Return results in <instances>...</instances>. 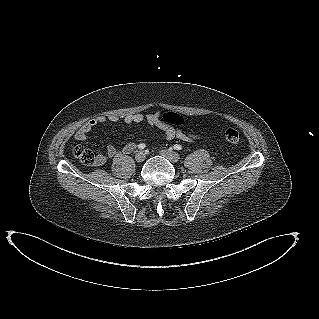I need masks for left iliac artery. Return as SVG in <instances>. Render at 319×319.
I'll use <instances>...</instances> for the list:
<instances>
[{"instance_id": "44dca946", "label": "left iliac artery", "mask_w": 319, "mask_h": 319, "mask_svg": "<svg viewBox=\"0 0 319 319\" xmlns=\"http://www.w3.org/2000/svg\"><path fill=\"white\" fill-rule=\"evenodd\" d=\"M174 149H175V150H181V149H182V146L179 145V144H175V145H174Z\"/></svg>"}]
</instances>
